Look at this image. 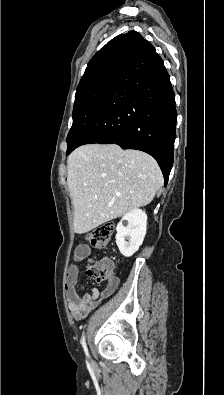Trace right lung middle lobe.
<instances>
[{
    "label": "right lung middle lobe",
    "instance_id": "right-lung-middle-lobe-1",
    "mask_svg": "<svg viewBox=\"0 0 224 395\" xmlns=\"http://www.w3.org/2000/svg\"><path fill=\"white\" fill-rule=\"evenodd\" d=\"M120 74L121 71L107 73L77 88L67 150L77 142L84 127L114 88Z\"/></svg>",
    "mask_w": 224,
    "mask_h": 395
}]
</instances>
